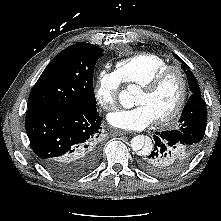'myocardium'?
<instances>
[{
  "label": "myocardium",
  "instance_id": "obj_1",
  "mask_svg": "<svg viewBox=\"0 0 221 221\" xmlns=\"http://www.w3.org/2000/svg\"><path fill=\"white\" fill-rule=\"evenodd\" d=\"M176 73L179 76L181 83V90L178 101L174 108L164 116L156 118L158 124H167L175 120L182 112L188 97L189 85L186 73L178 65H168L166 68L155 74L149 81L141 85V89L147 93L155 92L165 79L171 74Z\"/></svg>",
  "mask_w": 221,
  "mask_h": 221
}]
</instances>
